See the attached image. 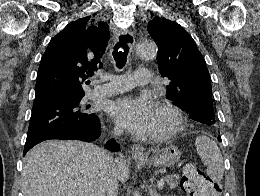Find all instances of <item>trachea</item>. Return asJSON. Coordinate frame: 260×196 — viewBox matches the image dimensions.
I'll return each mask as SVG.
<instances>
[{
	"label": "trachea",
	"mask_w": 260,
	"mask_h": 196,
	"mask_svg": "<svg viewBox=\"0 0 260 196\" xmlns=\"http://www.w3.org/2000/svg\"><path fill=\"white\" fill-rule=\"evenodd\" d=\"M129 52L128 42L125 35H121L112 52L116 66L121 69L126 65Z\"/></svg>",
	"instance_id": "obj_1"
}]
</instances>
